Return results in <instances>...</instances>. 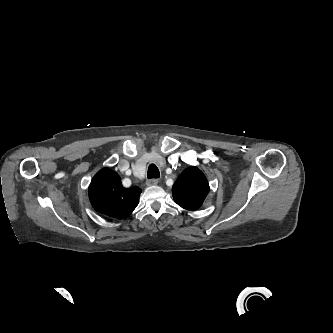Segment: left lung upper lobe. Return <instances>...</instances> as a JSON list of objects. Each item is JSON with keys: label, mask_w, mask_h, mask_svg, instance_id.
<instances>
[{"label": "left lung upper lobe", "mask_w": 333, "mask_h": 333, "mask_svg": "<svg viewBox=\"0 0 333 333\" xmlns=\"http://www.w3.org/2000/svg\"><path fill=\"white\" fill-rule=\"evenodd\" d=\"M209 192V184L205 175L197 168H186L172 187L174 201L187 210H196Z\"/></svg>", "instance_id": "left-lung-upper-lobe-1"}]
</instances>
